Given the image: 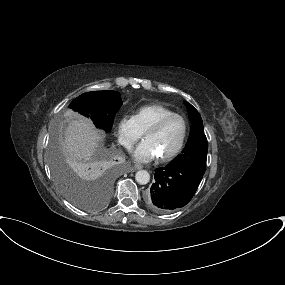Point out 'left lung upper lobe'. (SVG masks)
Here are the masks:
<instances>
[{
	"label": "left lung upper lobe",
	"mask_w": 285,
	"mask_h": 285,
	"mask_svg": "<svg viewBox=\"0 0 285 285\" xmlns=\"http://www.w3.org/2000/svg\"><path fill=\"white\" fill-rule=\"evenodd\" d=\"M192 123L188 142L177 158L170 164L175 167H184L204 174L208 142L204 134L203 122L198 111L189 103H185Z\"/></svg>",
	"instance_id": "1"
}]
</instances>
